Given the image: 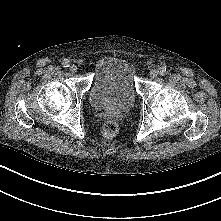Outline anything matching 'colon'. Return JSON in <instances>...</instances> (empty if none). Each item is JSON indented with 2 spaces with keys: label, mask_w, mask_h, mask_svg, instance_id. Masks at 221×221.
Instances as JSON below:
<instances>
[{
  "label": "colon",
  "mask_w": 221,
  "mask_h": 221,
  "mask_svg": "<svg viewBox=\"0 0 221 221\" xmlns=\"http://www.w3.org/2000/svg\"><path fill=\"white\" fill-rule=\"evenodd\" d=\"M119 127L114 121H107L102 127V134L106 138H113L118 134Z\"/></svg>",
  "instance_id": "colon-1"
}]
</instances>
